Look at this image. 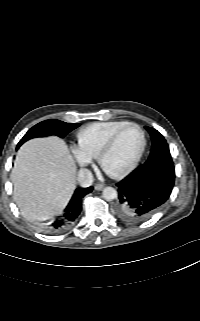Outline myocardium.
I'll list each match as a JSON object with an SVG mask.
<instances>
[{
    "instance_id": "myocardium-1",
    "label": "myocardium",
    "mask_w": 200,
    "mask_h": 321,
    "mask_svg": "<svg viewBox=\"0 0 200 321\" xmlns=\"http://www.w3.org/2000/svg\"><path fill=\"white\" fill-rule=\"evenodd\" d=\"M130 127H135L140 131L141 134V145L140 148L136 154V156L134 157V159L132 160V162L130 163V165L123 171L119 172V173H109L104 169L103 166V159L106 156V154L114 147L115 143L117 142L119 136L128 128ZM146 134L144 129L137 123H133V122H129L127 124H125L124 126L120 127L119 129H117L110 137L109 139L105 142V144L102 146V148L100 149L98 155H97V160L99 165L101 166V168L112 178L115 179H122L126 176H128L138 165L144 151L146 148Z\"/></svg>"
}]
</instances>
